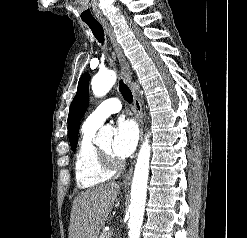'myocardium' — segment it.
I'll list each match as a JSON object with an SVG mask.
<instances>
[{
    "label": "myocardium",
    "instance_id": "myocardium-1",
    "mask_svg": "<svg viewBox=\"0 0 247 238\" xmlns=\"http://www.w3.org/2000/svg\"><path fill=\"white\" fill-rule=\"evenodd\" d=\"M99 159L102 166L110 172H117L121 169V163L112 155L101 148H98Z\"/></svg>",
    "mask_w": 247,
    "mask_h": 238
}]
</instances>
